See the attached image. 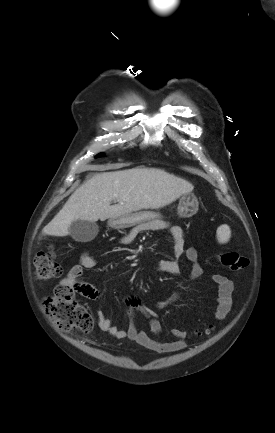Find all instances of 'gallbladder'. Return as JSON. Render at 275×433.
I'll list each match as a JSON object with an SVG mask.
<instances>
[{"mask_svg":"<svg viewBox=\"0 0 275 433\" xmlns=\"http://www.w3.org/2000/svg\"><path fill=\"white\" fill-rule=\"evenodd\" d=\"M99 228L95 222L76 220L69 227L70 236L78 242L92 241L98 234Z\"/></svg>","mask_w":275,"mask_h":433,"instance_id":"gallbladder-1","label":"gallbladder"}]
</instances>
